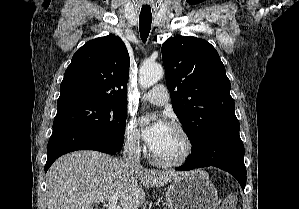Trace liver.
<instances>
[{"instance_id":"6515ba94","label":"liver","mask_w":299,"mask_h":209,"mask_svg":"<svg viewBox=\"0 0 299 209\" xmlns=\"http://www.w3.org/2000/svg\"><path fill=\"white\" fill-rule=\"evenodd\" d=\"M185 173L135 168L96 151H76L60 157L47 173L48 209H93L117 196L122 209H138L143 186L161 187Z\"/></svg>"}]
</instances>
